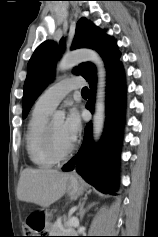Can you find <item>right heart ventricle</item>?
<instances>
[{
    "label": "right heart ventricle",
    "mask_w": 158,
    "mask_h": 237,
    "mask_svg": "<svg viewBox=\"0 0 158 237\" xmlns=\"http://www.w3.org/2000/svg\"><path fill=\"white\" fill-rule=\"evenodd\" d=\"M51 110L35 104L25 134L26 151L33 164L40 168H49L55 162L46 154L43 146V132Z\"/></svg>",
    "instance_id": "obj_1"
}]
</instances>
